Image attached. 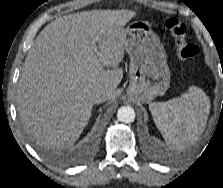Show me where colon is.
Returning <instances> with one entry per match:
<instances>
[{"label": "colon", "mask_w": 223, "mask_h": 188, "mask_svg": "<svg viewBox=\"0 0 223 188\" xmlns=\"http://www.w3.org/2000/svg\"><path fill=\"white\" fill-rule=\"evenodd\" d=\"M164 26L174 39L179 58L183 61H191L195 59L199 53V49L196 45L187 41L184 24L176 18H168L166 19Z\"/></svg>", "instance_id": "colon-1"}]
</instances>
